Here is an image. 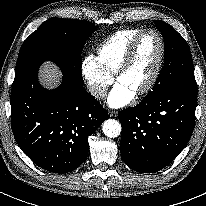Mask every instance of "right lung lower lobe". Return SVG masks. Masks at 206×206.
I'll list each match as a JSON object with an SVG mask.
<instances>
[{"label": "right lung lower lobe", "mask_w": 206, "mask_h": 206, "mask_svg": "<svg viewBox=\"0 0 206 206\" xmlns=\"http://www.w3.org/2000/svg\"><path fill=\"white\" fill-rule=\"evenodd\" d=\"M108 112L84 88L63 76L62 84L44 89L35 76L11 93V126L18 146L39 167L66 173L89 152L88 137Z\"/></svg>", "instance_id": "98d812e1"}]
</instances>
